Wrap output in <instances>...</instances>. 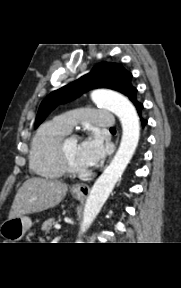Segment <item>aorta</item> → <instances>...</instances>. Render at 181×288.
I'll return each instance as SVG.
<instances>
[{"mask_svg":"<svg viewBox=\"0 0 181 288\" xmlns=\"http://www.w3.org/2000/svg\"><path fill=\"white\" fill-rule=\"evenodd\" d=\"M91 98L96 105L113 112L120 119L122 138L114 158L96 180L86 200L77 243H82L81 236L90 227L122 176L135 153L140 137L139 117L126 97L115 92L96 90L91 94Z\"/></svg>","mask_w":181,"mask_h":288,"instance_id":"762f6f07","label":"aorta"}]
</instances>
